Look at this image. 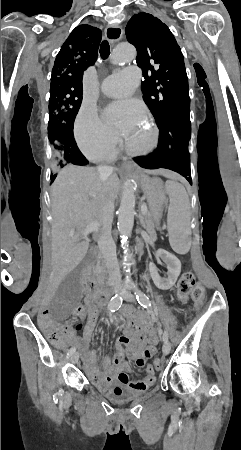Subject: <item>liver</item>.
<instances>
[{"label": "liver", "instance_id": "obj_1", "mask_svg": "<svg viewBox=\"0 0 241 450\" xmlns=\"http://www.w3.org/2000/svg\"><path fill=\"white\" fill-rule=\"evenodd\" d=\"M145 172L179 180L177 174L168 170ZM119 190L120 180L117 174L100 176L96 168H82L72 164L60 170L51 186L53 224L49 292H54L86 256L89 240L83 236L85 228L96 222L101 226L105 222H112L113 214L109 216L107 208L109 202H115L118 198ZM70 234H74L73 238Z\"/></svg>", "mask_w": 241, "mask_h": 450}]
</instances>
